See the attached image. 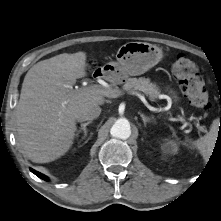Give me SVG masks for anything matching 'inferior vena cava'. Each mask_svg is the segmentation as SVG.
Here are the masks:
<instances>
[{"instance_id": "obj_1", "label": "inferior vena cava", "mask_w": 221, "mask_h": 221, "mask_svg": "<svg viewBox=\"0 0 221 221\" xmlns=\"http://www.w3.org/2000/svg\"><path fill=\"white\" fill-rule=\"evenodd\" d=\"M101 113V108L97 104H90L85 106L77 116L78 121L93 120Z\"/></svg>"}]
</instances>
